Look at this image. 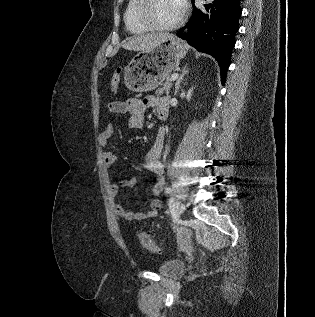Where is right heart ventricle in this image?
Masks as SVG:
<instances>
[{
	"instance_id": "e07e8e85",
	"label": "right heart ventricle",
	"mask_w": 315,
	"mask_h": 317,
	"mask_svg": "<svg viewBox=\"0 0 315 317\" xmlns=\"http://www.w3.org/2000/svg\"><path fill=\"white\" fill-rule=\"evenodd\" d=\"M140 3L141 0H128L125 8L124 23L126 29L132 34H143L149 30L138 19V8Z\"/></svg>"
}]
</instances>
